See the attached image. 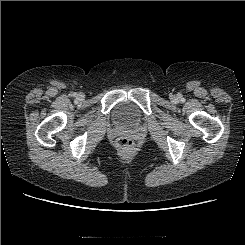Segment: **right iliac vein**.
Here are the masks:
<instances>
[{
  "label": "right iliac vein",
  "instance_id": "obj_1",
  "mask_svg": "<svg viewBox=\"0 0 245 245\" xmlns=\"http://www.w3.org/2000/svg\"><path fill=\"white\" fill-rule=\"evenodd\" d=\"M78 97H79V98H82V95H81V94H79V95H78Z\"/></svg>",
  "mask_w": 245,
  "mask_h": 245
}]
</instances>
